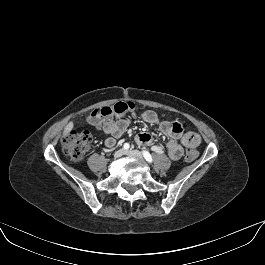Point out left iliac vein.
Listing matches in <instances>:
<instances>
[{
    "label": "left iliac vein",
    "instance_id": "1",
    "mask_svg": "<svg viewBox=\"0 0 265 265\" xmlns=\"http://www.w3.org/2000/svg\"><path fill=\"white\" fill-rule=\"evenodd\" d=\"M125 154L130 156V157H134V158H138V159H142L143 155L140 151L137 150H127L125 151Z\"/></svg>",
    "mask_w": 265,
    "mask_h": 265
}]
</instances>
